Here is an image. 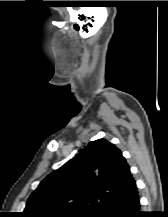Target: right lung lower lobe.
<instances>
[{"label": "right lung lower lobe", "mask_w": 168, "mask_h": 217, "mask_svg": "<svg viewBox=\"0 0 168 217\" xmlns=\"http://www.w3.org/2000/svg\"><path fill=\"white\" fill-rule=\"evenodd\" d=\"M95 217H144L140 212L138 191L126 198L111 202Z\"/></svg>", "instance_id": "98d812e1"}]
</instances>
